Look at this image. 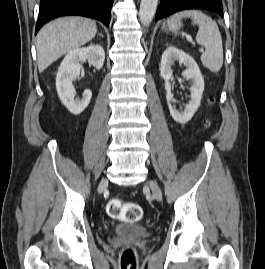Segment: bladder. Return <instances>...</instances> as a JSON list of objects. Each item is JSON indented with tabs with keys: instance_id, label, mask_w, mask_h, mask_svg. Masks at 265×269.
Segmentation results:
<instances>
[{
	"instance_id": "31cf9c89",
	"label": "bladder",
	"mask_w": 265,
	"mask_h": 269,
	"mask_svg": "<svg viewBox=\"0 0 265 269\" xmlns=\"http://www.w3.org/2000/svg\"><path fill=\"white\" fill-rule=\"evenodd\" d=\"M150 228L146 224L124 223L118 226L115 232L118 235L129 238H141L150 234Z\"/></svg>"
}]
</instances>
